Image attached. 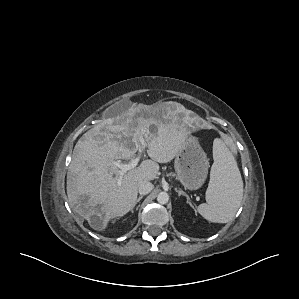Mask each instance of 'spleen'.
I'll list each match as a JSON object with an SVG mask.
<instances>
[{"label":"spleen","instance_id":"obj_1","mask_svg":"<svg viewBox=\"0 0 299 299\" xmlns=\"http://www.w3.org/2000/svg\"><path fill=\"white\" fill-rule=\"evenodd\" d=\"M214 163L206 191V202L198 212L213 223H227L235 216L243 198V181L231 150L221 138L213 143Z\"/></svg>","mask_w":299,"mask_h":299}]
</instances>
